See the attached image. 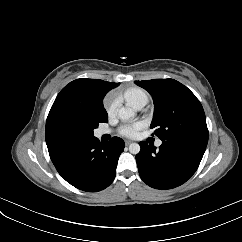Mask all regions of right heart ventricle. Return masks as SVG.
<instances>
[{"label":"right heart ventricle","instance_id":"right-heart-ventricle-1","mask_svg":"<svg viewBox=\"0 0 242 242\" xmlns=\"http://www.w3.org/2000/svg\"><path fill=\"white\" fill-rule=\"evenodd\" d=\"M124 98L134 106L143 99H147L146 93L139 88H131L124 93Z\"/></svg>","mask_w":242,"mask_h":242}]
</instances>
